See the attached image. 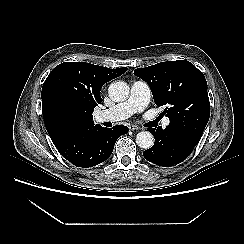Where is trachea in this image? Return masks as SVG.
Returning <instances> with one entry per match:
<instances>
[{
    "label": "trachea",
    "instance_id": "3493384b",
    "mask_svg": "<svg viewBox=\"0 0 244 244\" xmlns=\"http://www.w3.org/2000/svg\"><path fill=\"white\" fill-rule=\"evenodd\" d=\"M161 119V116H159L156 120L159 121Z\"/></svg>",
    "mask_w": 244,
    "mask_h": 244
}]
</instances>
